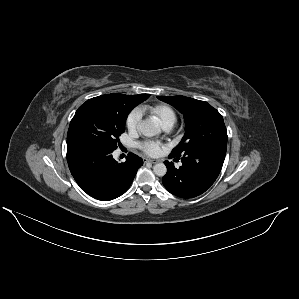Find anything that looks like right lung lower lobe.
<instances>
[{
  "label": "right lung lower lobe",
  "mask_w": 299,
  "mask_h": 299,
  "mask_svg": "<svg viewBox=\"0 0 299 299\" xmlns=\"http://www.w3.org/2000/svg\"><path fill=\"white\" fill-rule=\"evenodd\" d=\"M114 150L99 145L67 147L71 174L80 188L95 199L109 201L121 196L143 165L142 158L133 153L119 164L112 157Z\"/></svg>",
  "instance_id": "1"
}]
</instances>
